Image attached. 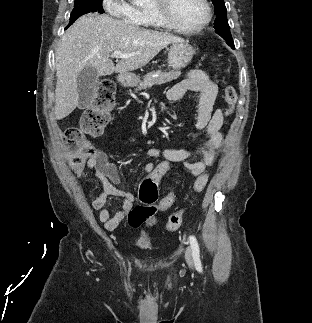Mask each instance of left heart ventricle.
<instances>
[{"instance_id":"obj_1","label":"left heart ventricle","mask_w":312,"mask_h":323,"mask_svg":"<svg viewBox=\"0 0 312 323\" xmlns=\"http://www.w3.org/2000/svg\"><path fill=\"white\" fill-rule=\"evenodd\" d=\"M168 14L180 22H194L195 18H206L208 7L202 0H168Z\"/></svg>"}]
</instances>
